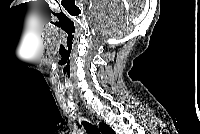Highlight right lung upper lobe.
I'll return each instance as SVG.
<instances>
[{"instance_id": "1", "label": "right lung upper lobe", "mask_w": 200, "mask_h": 134, "mask_svg": "<svg viewBox=\"0 0 200 134\" xmlns=\"http://www.w3.org/2000/svg\"><path fill=\"white\" fill-rule=\"evenodd\" d=\"M100 130L103 134H112L114 131L106 124H100Z\"/></svg>"}]
</instances>
